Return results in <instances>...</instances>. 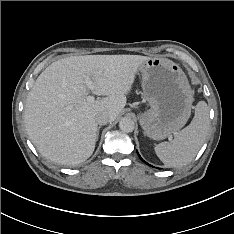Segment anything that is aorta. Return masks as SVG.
<instances>
[{"instance_id":"aorta-1","label":"aorta","mask_w":234,"mask_h":234,"mask_svg":"<svg viewBox=\"0 0 234 234\" xmlns=\"http://www.w3.org/2000/svg\"><path fill=\"white\" fill-rule=\"evenodd\" d=\"M135 124L131 118L124 117L119 122V128L123 132H132L134 130Z\"/></svg>"}]
</instances>
